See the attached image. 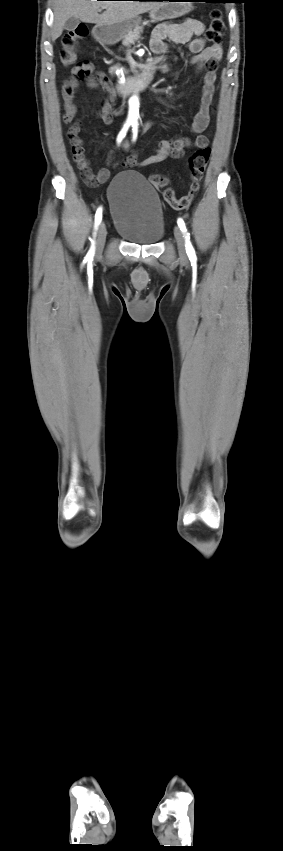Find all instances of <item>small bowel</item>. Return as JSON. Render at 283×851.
Masks as SVG:
<instances>
[{
    "instance_id": "small-bowel-1",
    "label": "small bowel",
    "mask_w": 283,
    "mask_h": 851,
    "mask_svg": "<svg viewBox=\"0 0 283 851\" xmlns=\"http://www.w3.org/2000/svg\"><path fill=\"white\" fill-rule=\"evenodd\" d=\"M203 31L204 24L201 21L185 19L180 22H166L159 24L154 29L151 39L152 51L160 56L168 52V45L165 42L166 39L178 44L188 43L189 50L193 53L189 63L194 65L200 71H202L205 67L207 69L203 80L200 109L194 116L191 125V131L197 134L196 138L191 139L188 137H176L171 140H162L156 146L154 150L155 153L152 156L139 162L137 160V155L133 153L121 160L120 164L122 166L144 167L162 162L167 158L177 159L181 158L185 154L186 150L191 147L201 148L208 145L209 139L206 135H203L202 132L207 128L210 121V106L215 91V71L218 66L217 60H220L222 56V48L219 44L206 47L204 40L199 37ZM194 36L196 37L193 38ZM153 60L156 61L157 58ZM93 72L94 66L91 62H82L72 68V76L64 83L62 90L65 107L63 120L65 123L72 122L76 117L78 108L74 102V97L76 89L80 86V79H85V84L89 88L96 89L99 87L100 83L103 89L107 91V96H109V98L103 102L100 112V118L105 124H111L113 116L120 113L119 111H116L113 106L114 96L117 94L116 87L109 86L103 73H98L97 77H95L92 75ZM153 124L154 122L147 123L144 126L143 131H147L153 126ZM79 132L80 125L78 122H74L67 132L69 142L72 146L74 162L77 164L78 169L81 171L83 178L88 184L94 185L96 183H105L110 177L109 170L107 168H100L96 173H93L91 164L85 157L83 141L79 137ZM128 145L129 141H126L124 146L127 147ZM107 163L110 166L118 164L113 162L110 155L107 158Z\"/></svg>"
}]
</instances>
